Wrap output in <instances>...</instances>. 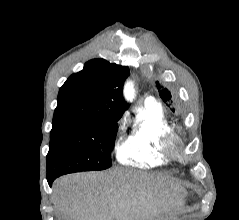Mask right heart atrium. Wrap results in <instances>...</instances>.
Listing matches in <instances>:
<instances>
[{
  "label": "right heart atrium",
  "mask_w": 239,
  "mask_h": 220,
  "mask_svg": "<svg viewBox=\"0 0 239 220\" xmlns=\"http://www.w3.org/2000/svg\"><path fill=\"white\" fill-rule=\"evenodd\" d=\"M118 129H119V130H121V129H122V125H121V124H119V126H118Z\"/></svg>",
  "instance_id": "right-heart-atrium-1"
}]
</instances>
